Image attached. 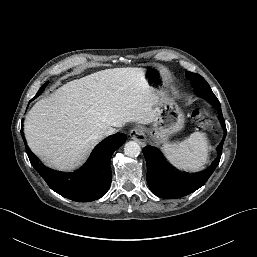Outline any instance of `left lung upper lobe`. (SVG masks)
I'll return each mask as SVG.
<instances>
[{
  "instance_id": "left-lung-upper-lobe-1",
  "label": "left lung upper lobe",
  "mask_w": 257,
  "mask_h": 257,
  "mask_svg": "<svg viewBox=\"0 0 257 257\" xmlns=\"http://www.w3.org/2000/svg\"><path fill=\"white\" fill-rule=\"evenodd\" d=\"M186 76L190 80L191 85L196 91L197 95L206 98L214 106L220 105V102L212 92L209 84L204 80L202 76L191 72H186Z\"/></svg>"
}]
</instances>
